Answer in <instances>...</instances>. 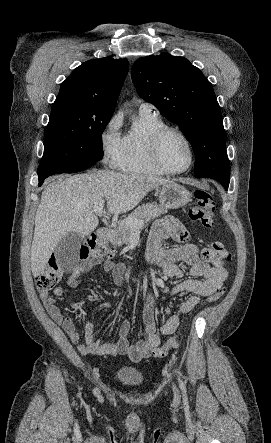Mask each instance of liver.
Instances as JSON below:
<instances>
[{
	"label": "liver",
	"mask_w": 271,
	"mask_h": 443,
	"mask_svg": "<svg viewBox=\"0 0 271 443\" xmlns=\"http://www.w3.org/2000/svg\"><path fill=\"white\" fill-rule=\"evenodd\" d=\"M168 184L163 178L126 176L110 170L95 174L59 176L42 192L35 216L31 245V271L40 275L60 239L76 231L81 237L96 229L99 220L93 206L107 200L108 214H125L133 210L144 196Z\"/></svg>",
	"instance_id": "liver-1"
}]
</instances>
